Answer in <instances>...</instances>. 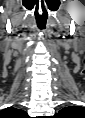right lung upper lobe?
<instances>
[{"label":"right lung upper lobe","mask_w":85,"mask_h":118,"mask_svg":"<svg viewBox=\"0 0 85 118\" xmlns=\"http://www.w3.org/2000/svg\"><path fill=\"white\" fill-rule=\"evenodd\" d=\"M7 111H9L11 113H19V114L24 113L23 110H19V109H15V108H9Z\"/></svg>","instance_id":"right-lung-upper-lobe-1"}]
</instances>
